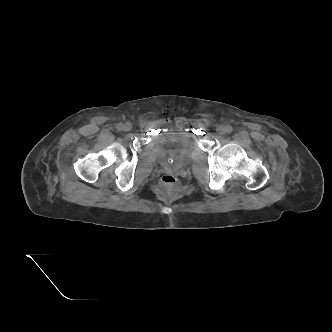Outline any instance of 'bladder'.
Returning <instances> with one entry per match:
<instances>
[{"label":"bladder","instance_id":"obj_1","mask_svg":"<svg viewBox=\"0 0 332 332\" xmlns=\"http://www.w3.org/2000/svg\"><path fill=\"white\" fill-rule=\"evenodd\" d=\"M150 146L160 162L172 159L182 165L187 162L194 148V138L189 131L171 132L155 137Z\"/></svg>","mask_w":332,"mask_h":332}]
</instances>
